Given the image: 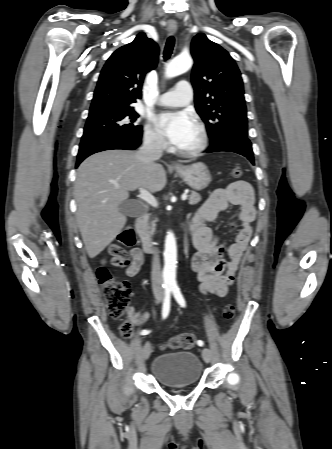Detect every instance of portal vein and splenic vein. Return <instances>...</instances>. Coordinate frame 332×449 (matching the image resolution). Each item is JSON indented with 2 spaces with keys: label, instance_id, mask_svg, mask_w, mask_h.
<instances>
[{
  "label": "portal vein and splenic vein",
  "instance_id": "portal-vein-and-splenic-vein-1",
  "mask_svg": "<svg viewBox=\"0 0 332 449\" xmlns=\"http://www.w3.org/2000/svg\"><path fill=\"white\" fill-rule=\"evenodd\" d=\"M115 186L117 188L119 187L118 185H115ZM139 197L153 207L158 206V203H157L155 197L143 188L140 189ZM181 198L183 201H185L187 199V194H183Z\"/></svg>",
  "mask_w": 332,
  "mask_h": 449
}]
</instances>
